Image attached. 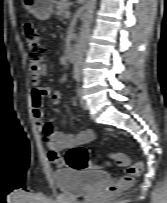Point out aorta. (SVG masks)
Returning <instances> with one entry per match:
<instances>
[{"label":"aorta","mask_w":167,"mask_h":203,"mask_svg":"<svg viewBox=\"0 0 167 203\" xmlns=\"http://www.w3.org/2000/svg\"><path fill=\"white\" fill-rule=\"evenodd\" d=\"M95 3L96 0H87V3L85 5L83 24L80 29L73 57L74 72L76 74H79L83 67L84 55L86 52L87 43L90 36V27L93 19V11L95 8Z\"/></svg>","instance_id":"obj_1"}]
</instances>
